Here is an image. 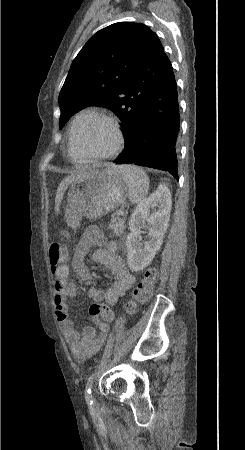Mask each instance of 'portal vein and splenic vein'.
<instances>
[{"instance_id": "portal-vein-and-splenic-vein-1", "label": "portal vein and splenic vein", "mask_w": 245, "mask_h": 450, "mask_svg": "<svg viewBox=\"0 0 245 450\" xmlns=\"http://www.w3.org/2000/svg\"><path fill=\"white\" fill-rule=\"evenodd\" d=\"M117 215H124V212L123 211H119V212H117Z\"/></svg>"}]
</instances>
